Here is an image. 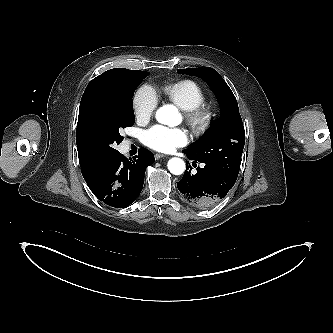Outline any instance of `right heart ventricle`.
Masks as SVG:
<instances>
[{"label":"right heart ventricle","mask_w":333,"mask_h":333,"mask_svg":"<svg viewBox=\"0 0 333 333\" xmlns=\"http://www.w3.org/2000/svg\"><path fill=\"white\" fill-rule=\"evenodd\" d=\"M163 92L166 97L182 110H190L206 100L203 88L195 81L185 79L164 86Z\"/></svg>","instance_id":"right-heart-ventricle-1"}]
</instances>
